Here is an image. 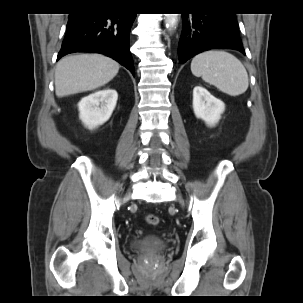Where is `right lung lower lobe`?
Returning <instances> with one entry per match:
<instances>
[{"mask_svg":"<svg viewBox=\"0 0 303 303\" xmlns=\"http://www.w3.org/2000/svg\"><path fill=\"white\" fill-rule=\"evenodd\" d=\"M135 17V13H108L97 9L71 13L57 60L74 52H96L115 59L135 75L129 49Z\"/></svg>","mask_w":303,"mask_h":303,"instance_id":"obj_1","label":"right lung lower lobe"}]
</instances>
